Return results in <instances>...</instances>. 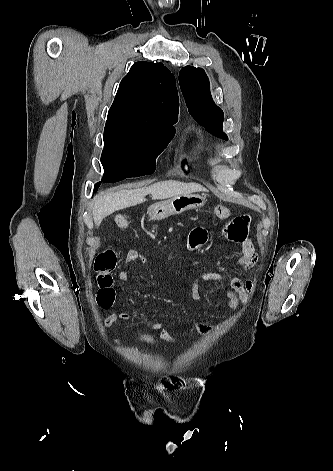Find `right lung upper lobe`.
<instances>
[{"instance_id": "obj_1", "label": "right lung upper lobe", "mask_w": 333, "mask_h": 471, "mask_svg": "<svg viewBox=\"0 0 333 471\" xmlns=\"http://www.w3.org/2000/svg\"><path fill=\"white\" fill-rule=\"evenodd\" d=\"M178 94L173 74L162 63H134L122 79L107 121L159 126L173 131Z\"/></svg>"}]
</instances>
